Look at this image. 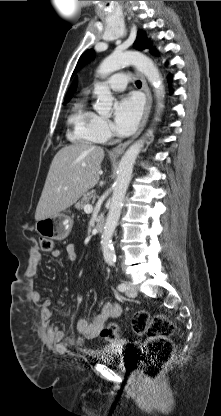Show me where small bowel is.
<instances>
[{"label": "small bowel", "instance_id": "small-bowel-1", "mask_svg": "<svg viewBox=\"0 0 221 416\" xmlns=\"http://www.w3.org/2000/svg\"><path fill=\"white\" fill-rule=\"evenodd\" d=\"M66 253L70 261L73 262L77 260V250L74 244L70 243L66 246ZM51 255L58 258L61 256V251L55 249L51 252ZM41 261L42 256L40 252L37 250L33 251L28 267V275L30 277H33L36 274L38 265ZM34 298L36 303L41 304V314L43 319L49 322L53 315L51 301L49 299H42L38 293H35ZM121 312V306L117 302L107 301L103 304L101 312L92 321H88L85 318H80L77 321V331L80 335L79 338H67L62 330L54 327L51 328V335L57 343H69L70 345L80 344L83 339H92L97 337L105 323L109 319L118 318L121 315Z\"/></svg>", "mask_w": 221, "mask_h": 416}]
</instances>
